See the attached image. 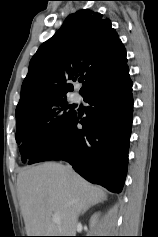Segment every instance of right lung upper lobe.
Returning <instances> with one entry per match:
<instances>
[{
  "mask_svg": "<svg viewBox=\"0 0 158 237\" xmlns=\"http://www.w3.org/2000/svg\"><path fill=\"white\" fill-rule=\"evenodd\" d=\"M127 62L126 50L109 19L89 9L69 15L61 29L44 42L29 64L16 118L35 114L66 99L70 80L84 79V93Z\"/></svg>",
  "mask_w": 158,
  "mask_h": 237,
  "instance_id": "right-lung-upper-lobe-1",
  "label": "right lung upper lobe"
}]
</instances>
